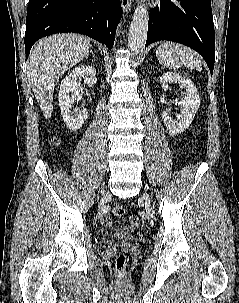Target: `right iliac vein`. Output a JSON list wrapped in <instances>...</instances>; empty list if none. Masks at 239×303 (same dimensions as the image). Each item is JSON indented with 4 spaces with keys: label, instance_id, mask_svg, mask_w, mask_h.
I'll list each match as a JSON object with an SVG mask.
<instances>
[{
    "label": "right iliac vein",
    "instance_id": "right-iliac-vein-1",
    "mask_svg": "<svg viewBox=\"0 0 239 303\" xmlns=\"http://www.w3.org/2000/svg\"><path fill=\"white\" fill-rule=\"evenodd\" d=\"M107 197H109V193L107 191H104L101 204L103 203L104 199H106Z\"/></svg>",
    "mask_w": 239,
    "mask_h": 303
}]
</instances>
